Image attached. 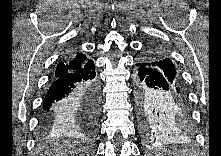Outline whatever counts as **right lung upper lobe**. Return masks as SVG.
<instances>
[{
	"instance_id": "1",
	"label": "right lung upper lobe",
	"mask_w": 221,
	"mask_h": 156,
	"mask_svg": "<svg viewBox=\"0 0 221 156\" xmlns=\"http://www.w3.org/2000/svg\"><path fill=\"white\" fill-rule=\"evenodd\" d=\"M88 61L89 60H87L86 56L82 53L72 56L71 58H68L59 63L55 71V76L65 73L67 71H73L75 69H78Z\"/></svg>"
}]
</instances>
